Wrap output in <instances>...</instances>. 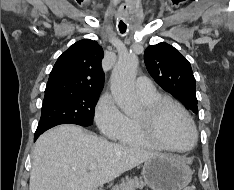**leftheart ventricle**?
<instances>
[{
    "label": "left heart ventricle",
    "instance_id": "obj_1",
    "mask_svg": "<svg viewBox=\"0 0 234 190\" xmlns=\"http://www.w3.org/2000/svg\"><path fill=\"white\" fill-rule=\"evenodd\" d=\"M159 134L171 146L186 148L193 141L187 119L175 108H167L160 119Z\"/></svg>",
    "mask_w": 234,
    "mask_h": 190
}]
</instances>
